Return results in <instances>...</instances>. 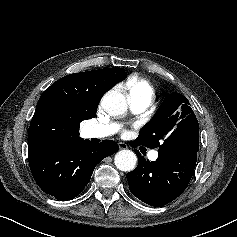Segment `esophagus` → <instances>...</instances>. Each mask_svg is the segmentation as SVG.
Wrapping results in <instances>:
<instances>
[{"label":"esophagus","mask_w":237,"mask_h":237,"mask_svg":"<svg viewBox=\"0 0 237 237\" xmlns=\"http://www.w3.org/2000/svg\"><path fill=\"white\" fill-rule=\"evenodd\" d=\"M118 146H119V149H120V150H123V149H127V148H128L127 144L124 143V142H119V143H118Z\"/></svg>","instance_id":"obj_1"}]
</instances>
